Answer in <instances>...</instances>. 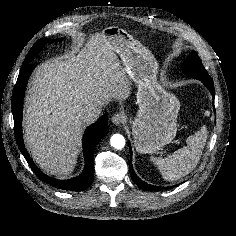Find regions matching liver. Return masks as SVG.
Instances as JSON below:
<instances>
[{
    "label": "liver",
    "mask_w": 236,
    "mask_h": 236,
    "mask_svg": "<svg viewBox=\"0 0 236 236\" xmlns=\"http://www.w3.org/2000/svg\"><path fill=\"white\" fill-rule=\"evenodd\" d=\"M131 82L102 33L81 49L37 67L27 91L24 137L37 165L48 175L74 170L86 123L83 109L126 100Z\"/></svg>",
    "instance_id": "liver-1"
}]
</instances>
